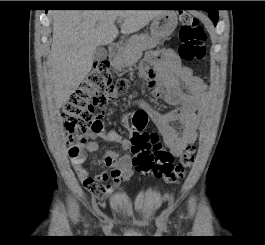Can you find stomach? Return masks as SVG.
Masks as SVG:
<instances>
[{"label": "stomach", "instance_id": "1", "mask_svg": "<svg viewBox=\"0 0 265 245\" xmlns=\"http://www.w3.org/2000/svg\"><path fill=\"white\" fill-rule=\"evenodd\" d=\"M178 23L177 13L174 11H165L156 16L150 25L151 36L154 39H161L170 36Z\"/></svg>", "mask_w": 265, "mask_h": 245}]
</instances>
